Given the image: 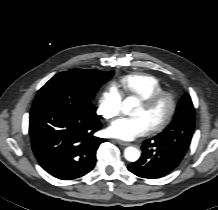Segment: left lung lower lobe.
Listing matches in <instances>:
<instances>
[{
    "mask_svg": "<svg viewBox=\"0 0 218 210\" xmlns=\"http://www.w3.org/2000/svg\"><path fill=\"white\" fill-rule=\"evenodd\" d=\"M187 149L179 142L172 144L156 137L147 139L143 142L140 159L131 163L128 170L149 179L165 176L178 166Z\"/></svg>",
    "mask_w": 218,
    "mask_h": 210,
    "instance_id": "1",
    "label": "left lung lower lobe"
}]
</instances>
